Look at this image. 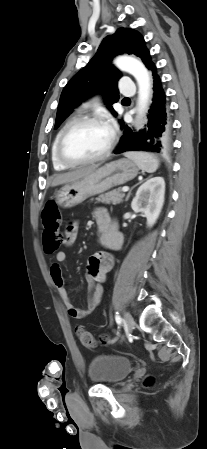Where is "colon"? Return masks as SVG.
<instances>
[{"instance_id":"5ec220e1","label":"colon","mask_w":207,"mask_h":449,"mask_svg":"<svg viewBox=\"0 0 207 449\" xmlns=\"http://www.w3.org/2000/svg\"><path fill=\"white\" fill-rule=\"evenodd\" d=\"M41 218L43 224V248L47 254H52L56 252L65 241L63 235L60 232L61 213L55 202L48 201L45 204L41 213ZM76 334L81 343L85 346L90 348L96 346V339L83 327L78 326L76 328ZM103 340L105 341L106 338H103ZM152 382L153 379L151 377L146 381L148 385Z\"/></svg>"}]
</instances>
